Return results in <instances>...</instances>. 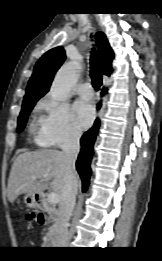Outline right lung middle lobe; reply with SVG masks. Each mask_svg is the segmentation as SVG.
I'll return each mask as SVG.
<instances>
[{
  "mask_svg": "<svg viewBox=\"0 0 162 261\" xmlns=\"http://www.w3.org/2000/svg\"><path fill=\"white\" fill-rule=\"evenodd\" d=\"M39 98L29 99L23 101L22 110L18 117V125H17V132H20L24 129L28 115L30 114L31 110L33 109L35 103L38 101Z\"/></svg>",
  "mask_w": 162,
  "mask_h": 261,
  "instance_id": "dd1d6c3e",
  "label": "right lung middle lobe"
}]
</instances>
